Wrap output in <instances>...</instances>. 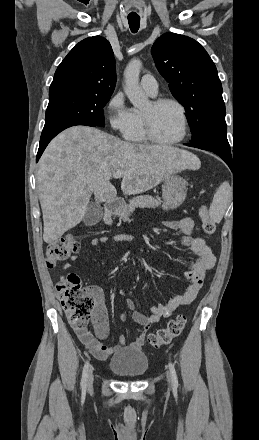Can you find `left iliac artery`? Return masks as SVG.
<instances>
[{"mask_svg":"<svg viewBox=\"0 0 259 440\" xmlns=\"http://www.w3.org/2000/svg\"><path fill=\"white\" fill-rule=\"evenodd\" d=\"M169 369H170V375H171L173 387L177 388L178 387V378H177L174 364H172L171 362L169 363Z\"/></svg>","mask_w":259,"mask_h":440,"instance_id":"1","label":"left iliac artery"}]
</instances>
